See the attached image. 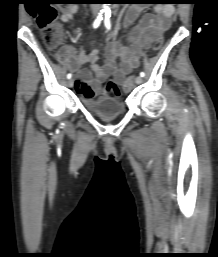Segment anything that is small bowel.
Listing matches in <instances>:
<instances>
[{
	"instance_id": "1",
	"label": "small bowel",
	"mask_w": 218,
	"mask_h": 257,
	"mask_svg": "<svg viewBox=\"0 0 218 257\" xmlns=\"http://www.w3.org/2000/svg\"><path fill=\"white\" fill-rule=\"evenodd\" d=\"M143 7L133 5L125 13L123 27L131 26L139 17ZM78 11L77 6L68 5L61 9V21L67 23L74 19ZM155 13L144 14L138 24L130 31L129 46H123L115 40H111L106 47V60L103 65L98 64L99 52L94 50L86 54L84 50L64 48L57 56L63 59L65 53L70 55V65L76 76L75 88L84 98H94L105 89L106 79L113 77L118 85L125 83L126 76L139 65L143 51L160 39L172 23L174 8L172 5H159L154 9ZM92 44L94 42H91ZM117 59L120 64H117ZM88 63L90 69H80L82 64ZM123 98H126V90L123 89Z\"/></svg>"
}]
</instances>
